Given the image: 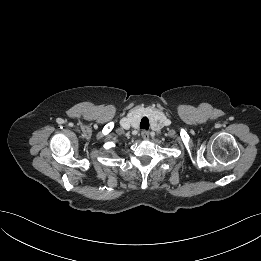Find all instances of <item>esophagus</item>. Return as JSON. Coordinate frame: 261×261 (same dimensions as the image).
<instances>
[{
    "mask_svg": "<svg viewBox=\"0 0 261 261\" xmlns=\"http://www.w3.org/2000/svg\"><path fill=\"white\" fill-rule=\"evenodd\" d=\"M141 136H142V138H143L144 140H148V139H149V132L146 131V130H143V131L141 132Z\"/></svg>",
    "mask_w": 261,
    "mask_h": 261,
    "instance_id": "34e87169",
    "label": "esophagus"
}]
</instances>
